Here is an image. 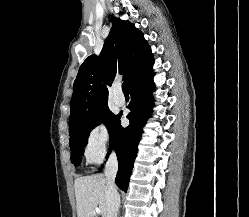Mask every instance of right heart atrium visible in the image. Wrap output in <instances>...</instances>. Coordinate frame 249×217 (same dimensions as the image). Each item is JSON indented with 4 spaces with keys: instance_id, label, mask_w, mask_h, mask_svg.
<instances>
[{
    "instance_id": "1",
    "label": "right heart atrium",
    "mask_w": 249,
    "mask_h": 217,
    "mask_svg": "<svg viewBox=\"0 0 249 217\" xmlns=\"http://www.w3.org/2000/svg\"><path fill=\"white\" fill-rule=\"evenodd\" d=\"M110 135L103 123L94 125L86 138L84 156L89 163H99L105 156Z\"/></svg>"
}]
</instances>
